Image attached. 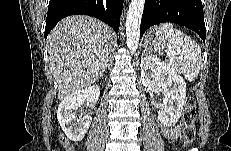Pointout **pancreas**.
<instances>
[{"label": "pancreas", "mask_w": 231, "mask_h": 151, "mask_svg": "<svg viewBox=\"0 0 231 151\" xmlns=\"http://www.w3.org/2000/svg\"><path fill=\"white\" fill-rule=\"evenodd\" d=\"M174 68H178V66L177 65H175V66H173Z\"/></svg>", "instance_id": "obj_1"}]
</instances>
